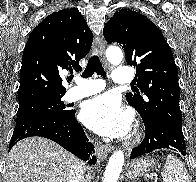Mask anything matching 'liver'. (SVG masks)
I'll list each match as a JSON object with an SVG mask.
<instances>
[{
	"label": "liver",
	"instance_id": "obj_1",
	"mask_svg": "<svg viewBox=\"0 0 196 182\" xmlns=\"http://www.w3.org/2000/svg\"><path fill=\"white\" fill-rule=\"evenodd\" d=\"M74 155L42 137L25 138L7 157L4 182H69Z\"/></svg>",
	"mask_w": 196,
	"mask_h": 182
}]
</instances>
